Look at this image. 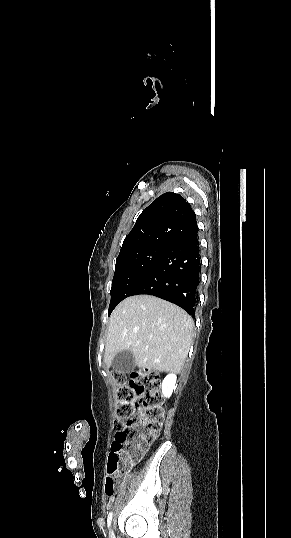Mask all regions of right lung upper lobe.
<instances>
[{
  "instance_id": "cb5924a9",
  "label": "right lung upper lobe",
  "mask_w": 291,
  "mask_h": 538,
  "mask_svg": "<svg viewBox=\"0 0 291 538\" xmlns=\"http://www.w3.org/2000/svg\"><path fill=\"white\" fill-rule=\"evenodd\" d=\"M197 232L196 215L189 203L180 194L167 192L139 215L119 255L149 245L171 248Z\"/></svg>"
}]
</instances>
